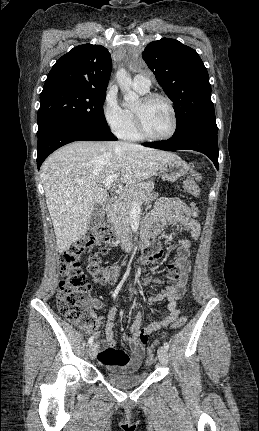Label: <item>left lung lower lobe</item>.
Returning <instances> with one entry per match:
<instances>
[{"label":"left lung lower lobe","mask_w":259,"mask_h":431,"mask_svg":"<svg viewBox=\"0 0 259 431\" xmlns=\"http://www.w3.org/2000/svg\"><path fill=\"white\" fill-rule=\"evenodd\" d=\"M218 128L207 126H192L183 131L175 133L170 139L146 143L144 146L156 149L174 150H194L208 156L218 169Z\"/></svg>","instance_id":"1"}]
</instances>
